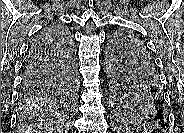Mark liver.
<instances>
[{
    "mask_svg": "<svg viewBox=\"0 0 184 133\" xmlns=\"http://www.w3.org/2000/svg\"><path fill=\"white\" fill-rule=\"evenodd\" d=\"M30 131L35 133H55V129L49 127L46 123L36 124Z\"/></svg>",
    "mask_w": 184,
    "mask_h": 133,
    "instance_id": "1",
    "label": "liver"
}]
</instances>
